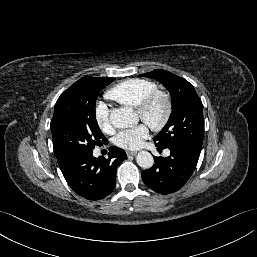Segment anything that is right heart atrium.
<instances>
[{"mask_svg": "<svg viewBox=\"0 0 257 257\" xmlns=\"http://www.w3.org/2000/svg\"><path fill=\"white\" fill-rule=\"evenodd\" d=\"M96 122L101 130L108 131L111 128L109 111L105 104H100L96 111Z\"/></svg>", "mask_w": 257, "mask_h": 257, "instance_id": "obj_1", "label": "right heart atrium"}]
</instances>
